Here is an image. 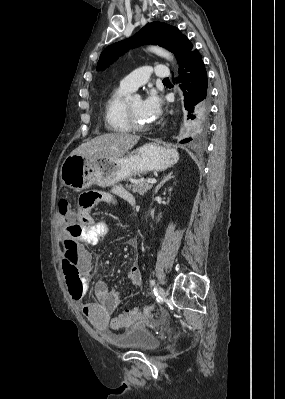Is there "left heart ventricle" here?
<instances>
[{
    "label": "left heart ventricle",
    "instance_id": "obj_1",
    "mask_svg": "<svg viewBox=\"0 0 285 399\" xmlns=\"http://www.w3.org/2000/svg\"><path fill=\"white\" fill-rule=\"evenodd\" d=\"M131 110L135 116V119L141 123V124H147L149 121L144 117L142 110H141V105L142 101L140 99L133 100L129 102Z\"/></svg>",
    "mask_w": 285,
    "mask_h": 399
}]
</instances>
